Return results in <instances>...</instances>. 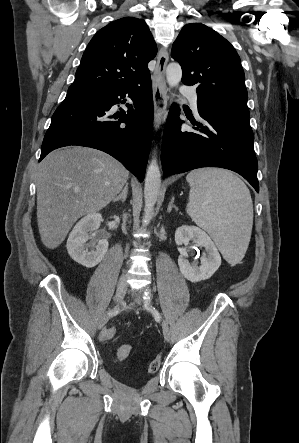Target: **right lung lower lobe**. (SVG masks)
Instances as JSON below:
<instances>
[{"instance_id":"1","label":"right lung lower lobe","mask_w":299,"mask_h":443,"mask_svg":"<svg viewBox=\"0 0 299 443\" xmlns=\"http://www.w3.org/2000/svg\"><path fill=\"white\" fill-rule=\"evenodd\" d=\"M133 104L127 113L113 114L112 106ZM117 119V120H116ZM153 128L151 79L98 91L95 95H67L52 116L41 149V161L52 150L79 145L104 151L143 181Z\"/></svg>"}]
</instances>
